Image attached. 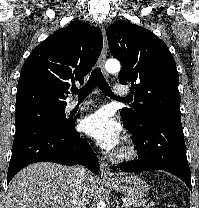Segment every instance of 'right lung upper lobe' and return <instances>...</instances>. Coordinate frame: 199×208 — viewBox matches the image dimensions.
I'll use <instances>...</instances> for the list:
<instances>
[{
	"label": "right lung upper lobe",
	"instance_id": "obj_1",
	"mask_svg": "<svg viewBox=\"0 0 199 208\" xmlns=\"http://www.w3.org/2000/svg\"><path fill=\"white\" fill-rule=\"evenodd\" d=\"M103 47L101 30L71 22L38 45L22 66L16 110L29 106L65 107L70 84L83 83Z\"/></svg>",
	"mask_w": 199,
	"mask_h": 208
}]
</instances>
